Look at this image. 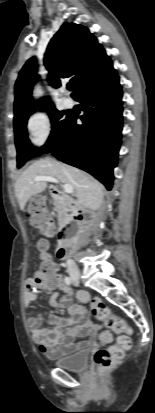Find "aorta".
Listing matches in <instances>:
<instances>
[{"label":"aorta","mask_w":155,"mask_h":413,"mask_svg":"<svg viewBox=\"0 0 155 413\" xmlns=\"http://www.w3.org/2000/svg\"><path fill=\"white\" fill-rule=\"evenodd\" d=\"M40 93H41V91H40V89H35V91H34V96H39L40 95Z\"/></svg>","instance_id":"1"}]
</instances>
